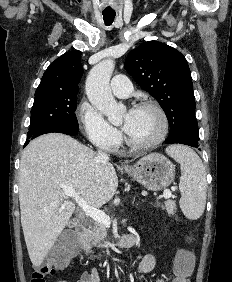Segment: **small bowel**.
<instances>
[{
	"mask_svg": "<svg viewBox=\"0 0 232 282\" xmlns=\"http://www.w3.org/2000/svg\"><path fill=\"white\" fill-rule=\"evenodd\" d=\"M156 264L155 257L152 254H146L141 259L138 265V272L142 275L150 273ZM57 282H67L65 280H59ZM76 282H100V272L97 268L84 271ZM156 282H166L163 279H158Z\"/></svg>",
	"mask_w": 232,
	"mask_h": 282,
	"instance_id": "1",
	"label": "small bowel"
}]
</instances>
